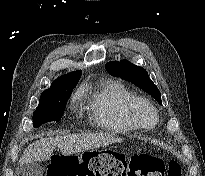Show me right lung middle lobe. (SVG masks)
Instances as JSON below:
<instances>
[{
	"mask_svg": "<svg viewBox=\"0 0 205 176\" xmlns=\"http://www.w3.org/2000/svg\"><path fill=\"white\" fill-rule=\"evenodd\" d=\"M72 90L73 89H65L41 96L39 105L33 113L34 127H39L41 124L50 121H60Z\"/></svg>",
	"mask_w": 205,
	"mask_h": 176,
	"instance_id": "1",
	"label": "right lung middle lobe"
}]
</instances>
